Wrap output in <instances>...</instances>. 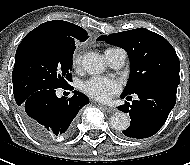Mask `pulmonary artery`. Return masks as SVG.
<instances>
[{"label":"pulmonary artery","mask_w":190,"mask_h":165,"mask_svg":"<svg viewBox=\"0 0 190 165\" xmlns=\"http://www.w3.org/2000/svg\"><path fill=\"white\" fill-rule=\"evenodd\" d=\"M105 58L112 68H121L126 60V52L123 49H109L105 51Z\"/></svg>","instance_id":"e3ab8cb5"}]
</instances>
